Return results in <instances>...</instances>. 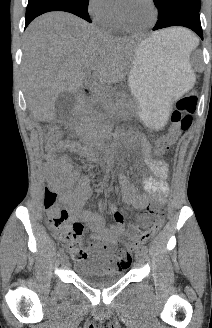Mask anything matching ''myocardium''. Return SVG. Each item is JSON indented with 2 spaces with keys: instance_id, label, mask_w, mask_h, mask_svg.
Wrapping results in <instances>:
<instances>
[{
  "instance_id": "myocardium-1",
  "label": "myocardium",
  "mask_w": 212,
  "mask_h": 328,
  "mask_svg": "<svg viewBox=\"0 0 212 328\" xmlns=\"http://www.w3.org/2000/svg\"><path fill=\"white\" fill-rule=\"evenodd\" d=\"M147 2L150 5V7L152 8L153 18H152V21L148 25L141 26V27H136V26L129 25L124 20L122 14H121L120 8L117 9L116 18H117L119 24L122 26L123 29H125L127 31H131V32H143V31H146V30L150 29L156 23L157 18H158L157 5H156L154 0H147Z\"/></svg>"
}]
</instances>
